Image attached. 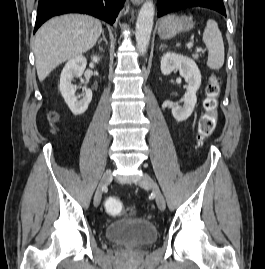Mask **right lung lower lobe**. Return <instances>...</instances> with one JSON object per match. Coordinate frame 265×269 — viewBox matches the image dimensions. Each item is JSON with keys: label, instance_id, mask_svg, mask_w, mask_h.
Wrapping results in <instances>:
<instances>
[{"label": "right lung lower lobe", "instance_id": "1", "mask_svg": "<svg viewBox=\"0 0 265 269\" xmlns=\"http://www.w3.org/2000/svg\"><path fill=\"white\" fill-rule=\"evenodd\" d=\"M125 0H39L34 32L49 18L65 13H83L113 24Z\"/></svg>", "mask_w": 265, "mask_h": 269}]
</instances>
